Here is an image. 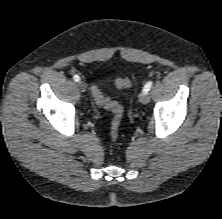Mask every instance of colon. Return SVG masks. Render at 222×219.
Instances as JSON below:
<instances>
[{
	"instance_id": "colon-1",
	"label": "colon",
	"mask_w": 222,
	"mask_h": 219,
	"mask_svg": "<svg viewBox=\"0 0 222 219\" xmlns=\"http://www.w3.org/2000/svg\"><path fill=\"white\" fill-rule=\"evenodd\" d=\"M131 83L132 79L129 77L116 78L114 81L115 86L120 89L130 86ZM93 94L96 103L99 106L109 110L113 114V118L110 125V134L112 139H116L118 137L119 127L122 119L121 105L118 102L105 97L98 88L93 89Z\"/></svg>"
}]
</instances>
